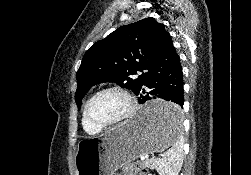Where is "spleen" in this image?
<instances>
[{
	"instance_id": "1",
	"label": "spleen",
	"mask_w": 251,
	"mask_h": 175,
	"mask_svg": "<svg viewBox=\"0 0 251 175\" xmlns=\"http://www.w3.org/2000/svg\"><path fill=\"white\" fill-rule=\"evenodd\" d=\"M181 109L180 107H172L167 115L168 129L172 135L171 149L166 151L165 157L161 159H154L153 163L159 171L160 175H178L183 161V141L182 131L180 125Z\"/></svg>"
}]
</instances>
